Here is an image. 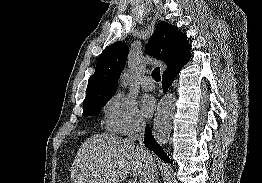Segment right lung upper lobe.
Returning a JSON list of instances; mask_svg holds the SVG:
<instances>
[{"label": "right lung upper lobe", "instance_id": "obj_1", "mask_svg": "<svg viewBox=\"0 0 262 183\" xmlns=\"http://www.w3.org/2000/svg\"><path fill=\"white\" fill-rule=\"evenodd\" d=\"M190 48L186 34L166 22L157 25L145 47L146 53L166 63L167 68L163 75L180 71L191 58ZM128 50V45L124 42L113 43L104 49L87 86L84 102L114 95L119 75L126 63Z\"/></svg>", "mask_w": 262, "mask_h": 183}]
</instances>
